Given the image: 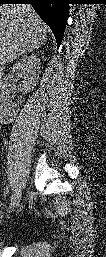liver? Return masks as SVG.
Returning a JSON list of instances; mask_svg holds the SVG:
<instances>
[{
  "instance_id": "6515ba94",
  "label": "liver",
  "mask_w": 106,
  "mask_h": 257,
  "mask_svg": "<svg viewBox=\"0 0 106 257\" xmlns=\"http://www.w3.org/2000/svg\"><path fill=\"white\" fill-rule=\"evenodd\" d=\"M48 27L31 5L0 7V63L13 61L39 48L47 40Z\"/></svg>"
}]
</instances>
